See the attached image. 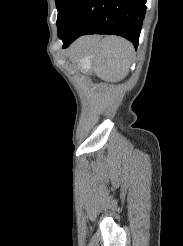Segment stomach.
I'll use <instances>...</instances> for the list:
<instances>
[{"instance_id":"1","label":"stomach","mask_w":183,"mask_h":246,"mask_svg":"<svg viewBox=\"0 0 183 246\" xmlns=\"http://www.w3.org/2000/svg\"><path fill=\"white\" fill-rule=\"evenodd\" d=\"M91 57L90 56H86V57H83L81 60H80V65L84 68V65L86 64H91Z\"/></svg>"}]
</instances>
